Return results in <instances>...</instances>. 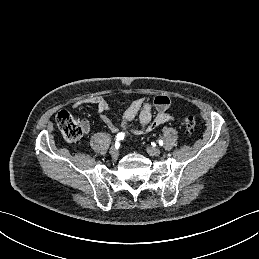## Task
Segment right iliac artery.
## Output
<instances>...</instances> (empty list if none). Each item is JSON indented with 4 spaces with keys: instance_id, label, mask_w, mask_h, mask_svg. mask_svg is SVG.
Returning <instances> with one entry per match:
<instances>
[{
    "instance_id": "right-iliac-artery-1",
    "label": "right iliac artery",
    "mask_w": 259,
    "mask_h": 259,
    "mask_svg": "<svg viewBox=\"0 0 259 259\" xmlns=\"http://www.w3.org/2000/svg\"><path fill=\"white\" fill-rule=\"evenodd\" d=\"M124 139V133H118L117 136H116V141H120V140H123ZM115 146H119V143L116 142Z\"/></svg>"
}]
</instances>
